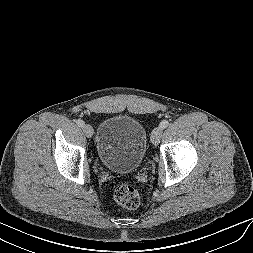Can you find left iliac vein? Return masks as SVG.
Returning <instances> with one entry per match:
<instances>
[{"label": "left iliac vein", "instance_id": "1", "mask_svg": "<svg viewBox=\"0 0 253 253\" xmlns=\"http://www.w3.org/2000/svg\"><path fill=\"white\" fill-rule=\"evenodd\" d=\"M162 128L156 127L152 133H151V142L154 145H158L160 143L161 137H162Z\"/></svg>", "mask_w": 253, "mask_h": 253}]
</instances>
